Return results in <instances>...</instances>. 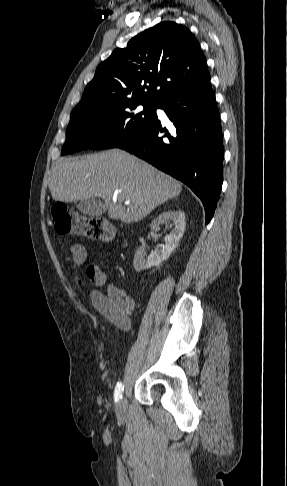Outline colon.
<instances>
[{
    "label": "colon",
    "mask_w": 287,
    "mask_h": 486,
    "mask_svg": "<svg viewBox=\"0 0 287 486\" xmlns=\"http://www.w3.org/2000/svg\"><path fill=\"white\" fill-rule=\"evenodd\" d=\"M52 223L60 235L74 234L107 242L114 238V228L103 217H87L70 211L66 205L56 203L52 206ZM86 278L94 284L103 283V275L94 266L86 270Z\"/></svg>",
    "instance_id": "5ec220e1"
}]
</instances>
